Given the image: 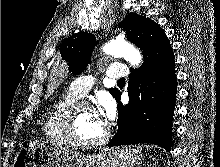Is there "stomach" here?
<instances>
[{
  "mask_svg": "<svg viewBox=\"0 0 220 167\" xmlns=\"http://www.w3.org/2000/svg\"><path fill=\"white\" fill-rule=\"evenodd\" d=\"M141 160L142 154L135 147L110 148L84 155L69 148L30 142L18 151L12 167H135Z\"/></svg>",
  "mask_w": 220,
  "mask_h": 167,
  "instance_id": "stomach-1",
  "label": "stomach"
}]
</instances>
